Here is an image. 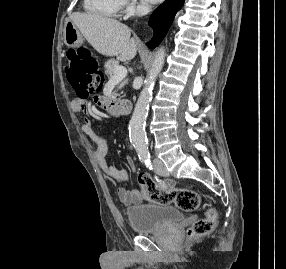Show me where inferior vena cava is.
<instances>
[{
    "label": "inferior vena cava",
    "mask_w": 286,
    "mask_h": 269,
    "mask_svg": "<svg viewBox=\"0 0 286 269\" xmlns=\"http://www.w3.org/2000/svg\"><path fill=\"white\" fill-rule=\"evenodd\" d=\"M149 9L148 8H144L141 10V14L140 15H145L146 13H148Z\"/></svg>",
    "instance_id": "inferior-vena-cava-1"
}]
</instances>
